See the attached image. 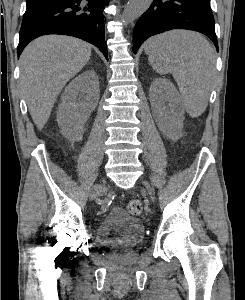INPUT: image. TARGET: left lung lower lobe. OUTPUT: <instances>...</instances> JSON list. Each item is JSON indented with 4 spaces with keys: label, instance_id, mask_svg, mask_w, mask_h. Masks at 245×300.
<instances>
[{
    "label": "left lung lower lobe",
    "instance_id": "1",
    "mask_svg": "<svg viewBox=\"0 0 245 300\" xmlns=\"http://www.w3.org/2000/svg\"><path fill=\"white\" fill-rule=\"evenodd\" d=\"M210 0H154L133 31V51L150 36L172 30L187 29L207 35L218 51Z\"/></svg>",
    "mask_w": 245,
    "mask_h": 300
}]
</instances>
